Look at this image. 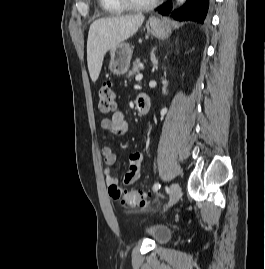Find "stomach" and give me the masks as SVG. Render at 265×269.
I'll list each match as a JSON object with an SVG mask.
<instances>
[{"label": "stomach", "instance_id": "obj_1", "mask_svg": "<svg viewBox=\"0 0 265 269\" xmlns=\"http://www.w3.org/2000/svg\"><path fill=\"white\" fill-rule=\"evenodd\" d=\"M147 31L157 38H166L170 32L169 22L158 17H151L146 23ZM109 69L115 75L125 74L130 66L132 49L127 43H120L110 49Z\"/></svg>", "mask_w": 265, "mask_h": 269}]
</instances>
